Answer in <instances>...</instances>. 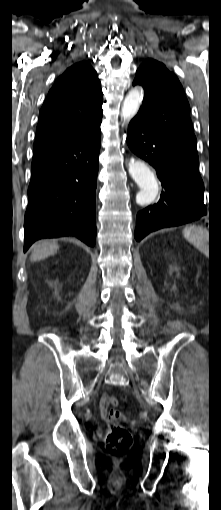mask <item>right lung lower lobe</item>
<instances>
[{
  "mask_svg": "<svg viewBox=\"0 0 221 510\" xmlns=\"http://www.w3.org/2000/svg\"><path fill=\"white\" fill-rule=\"evenodd\" d=\"M100 124L34 150L24 252L39 239L63 236H76L88 246L95 245Z\"/></svg>",
  "mask_w": 221,
  "mask_h": 510,
  "instance_id": "right-lung-lower-lobe-1",
  "label": "right lung lower lobe"
}]
</instances>
